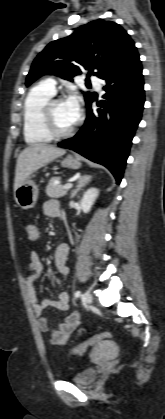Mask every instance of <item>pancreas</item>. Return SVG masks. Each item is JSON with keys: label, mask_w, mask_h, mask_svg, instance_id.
Segmentation results:
<instances>
[{"label": "pancreas", "mask_w": 165, "mask_h": 419, "mask_svg": "<svg viewBox=\"0 0 165 419\" xmlns=\"http://www.w3.org/2000/svg\"><path fill=\"white\" fill-rule=\"evenodd\" d=\"M57 180H60V177H52L46 187L45 192L51 198H59L67 194V189H64L60 184H55Z\"/></svg>", "instance_id": "cf45deb5"}]
</instances>
